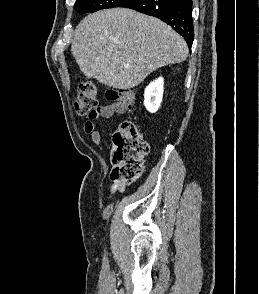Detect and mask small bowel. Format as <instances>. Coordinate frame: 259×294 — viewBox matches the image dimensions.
<instances>
[{
    "label": "small bowel",
    "instance_id": "obj_1",
    "mask_svg": "<svg viewBox=\"0 0 259 294\" xmlns=\"http://www.w3.org/2000/svg\"><path fill=\"white\" fill-rule=\"evenodd\" d=\"M126 110V107L120 102H111L107 105H103L97 108L96 113L84 124V132L90 135L91 140L94 144L102 146V134L95 128V121L103 118L107 119L115 114H122ZM125 190V184L122 182L115 181L110 188L109 199L113 197L115 193H121Z\"/></svg>",
    "mask_w": 259,
    "mask_h": 294
}]
</instances>
